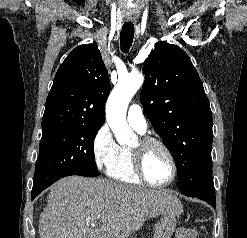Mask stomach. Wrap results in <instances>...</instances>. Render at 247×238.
<instances>
[{
	"instance_id": "obj_1",
	"label": "stomach",
	"mask_w": 247,
	"mask_h": 238,
	"mask_svg": "<svg viewBox=\"0 0 247 238\" xmlns=\"http://www.w3.org/2000/svg\"><path fill=\"white\" fill-rule=\"evenodd\" d=\"M176 228V219L173 215L164 214L157 223L153 238H171Z\"/></svg>"
}]
</instances>
